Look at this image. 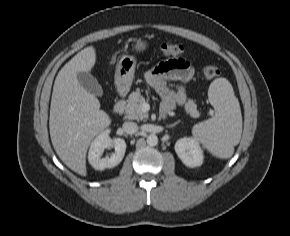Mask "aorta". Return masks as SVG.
Returning <instances> with one entry per match:
<instances>
[{
	"label": "aorta",
	"mask_w": 290,
	"mask_h": 236,
	"mask_svg": "<svg viewBox=\"0 0 290 236\" xmlns=\"http://www.w3.org/2000/svg\"><path fill=\"white\" fill-rule=\"evenodd\" d=\"M146 141L149 146H156L158 144V137L155 134H150Z\"/></svg>",
	"instance_id": "1"
}]
</instances>
